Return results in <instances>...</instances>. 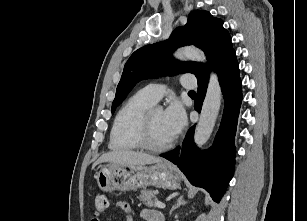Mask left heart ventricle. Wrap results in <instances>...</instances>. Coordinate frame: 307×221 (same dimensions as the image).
Here are the masks:
<instances>
[{
  "mask_svg": "<svg viewBox=\"0 0 307 221\" xmlns=\"http://www.w3.org/2000/svg\"><path fill=\"white\" fill-rule=\"evenodd\" d=\"M162 110H155L151 123V141L156 145H162L171 140Z\"/></svg>",
  "mask_w": 307,
  "mask_h": 221,
  "instance_id": "b2bd125f",
  "label": "left heart ventricle"
}]
</instances>
